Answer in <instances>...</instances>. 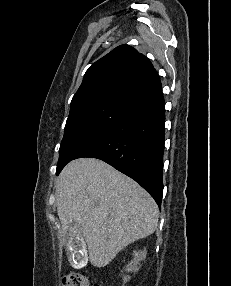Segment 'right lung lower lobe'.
<instances>
[{
    "label": "right lung lower lobe",
    "instance_id": "1",
    "mask_svg": "<svg viewBox=\"0 0 231 286\" xmlns=\"http://www.w3.org/2000/svg\"><path fill=\"white\" fill-rule=\"evenodd\" d=\"M74 159L98 158L138 182L161 206L163 195L164 98L161 84Z\"/></svg>",
    "mask_w": 231,
    "mask_h": 286
}]
</instances>
